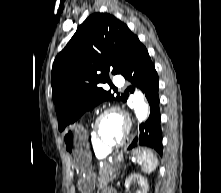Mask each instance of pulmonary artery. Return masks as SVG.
I'll list each match as a JSON object with an SVG mask.
<instances>
[{"instance_id":"obj_1","label":"pulmonary artery","mask_w":221,"mask_h":193,"mask_svg":"<svg viewBox=\"0 0 221 193\" xmlns=\"http://www.w3.org/2000/svg\"><path fill=\"white\" fill-rule=\"evenodd\" d=\"M113 83L116 87H121L124 84V78L121 75H115L113 78Z\"/></svg>"}]
</instances>
